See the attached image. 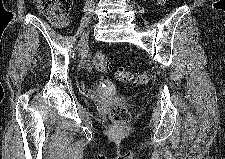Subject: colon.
I'll return each mask as SVG.
<instances>
[{"label": "colon", "mask_w": 225, "mask_h": 159, "mask_svg": "<svg viewBox=\"0 0 225 159\" xmlns=\"http://www.w3.org/2000/svg\"><path fill=\"white\" fill-rule=\"evenodd\" d=\"M73 0H37L38 9L58 27H62L67 23L68 13L72 7ZM159 6L165 5V0H157ZM93 63L97 71L107 73L111 64L108 57L98 51L94 55ZM115 77L118 81L130 82L134 85L147 84L151 75L145 71L134 74L127 68H120L116 71ZM109 119L115 124H124L130 120V113L127 108L121 104H113L108 111Z\"/></svg>", "instance_id": "colon-1"}]
</instances>
